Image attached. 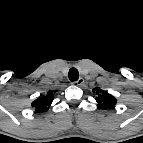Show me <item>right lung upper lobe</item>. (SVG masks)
Wrapping results in <instances>:
<instances>
[{"instance_id": "obj_1", "label": "right lung upper lobe", "mask_w": 143, "mask_h": 143, "mask_svg": "<svg viewBox=\"0 0 143 143\" xmlns=\"http://www.w3.org/2000/svg\"><path fill=\"white\" fill-rule=\"evenodd\" d=\"M54 93L49 91L46 96L40 97L32 102V106L35 108L36 113H42L48 111L52 101Z\"/></svg>"}]
</instances>
